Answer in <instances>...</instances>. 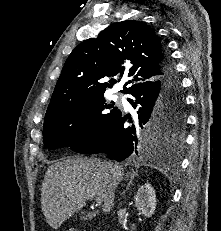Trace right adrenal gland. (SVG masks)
Here are the masks:
<instances>
[{"instance_id":"1","label":"right adrenal gland","mask_w":221,"mask_h":231,"mask_svg":"<svg viewBox=\"0 0 221 231\" xmlns=\"http://www.w3.org/2000/svg\"><path fill=\"white\" fill-rule=\"evenodd\" d=\"M136 175V172H132V173H128V174H126V178H127V181H129L128 182V184H127V187H126V189H129V187H130V185L132 184V180L134 179V176ZM130 178V179H129ZM123 194H124V192H123Z\"/></svg>"}]
</instances>
